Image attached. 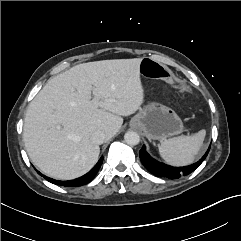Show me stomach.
Segmentation results:
<instances>
[{
	"label": "stomach",
	"instance_id": "stomach-1",
	"mask_svg": "<svg viewBox=\"0 0 241 241\" xmlns=\"http://www.w3.org/2000/svg\"><path fill=\"white\" fill-rule=\"evenodd\" d=\"M131 128H138L149 140H165L183 132V123L176 112L152 102L139 109L130 121Z\"/></svg>",
	"mask_w": 241,
	"mask_h": 241
}]
</instances>
